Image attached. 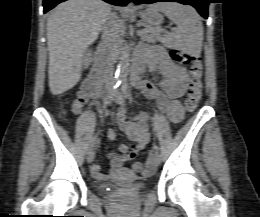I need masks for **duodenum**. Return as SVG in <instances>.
Instances as JSON below:
<instances>
[{
    "label": "duodenum",
    "mask_w": 260,
    "mask_h": 217,
    "mask_svg": "<svg viewBox=\"0 0 260 217\" xmlns=\"http://www.w3.org/2000/svg\"><path fill=\"white\" fill-rule=\"evenodd\" d=\"M103 73V68L97 65L95 69L90 73L88 78L83 82L81 87V92L85 95H91L94 93H99L101 91V80L100 76ZM142 68L138 66L135 62L130 73L129 83L136 84L141 79Z\"/></svg>",
    "instance_id": "duodenum-1"
}]
</instances>
